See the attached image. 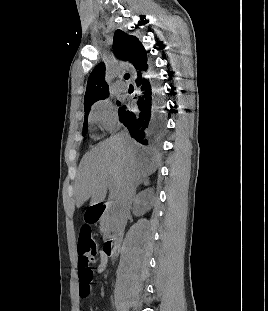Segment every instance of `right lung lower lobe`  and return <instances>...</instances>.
Segmentation results:
<instances>
[{
	"instance_id": "obj_1",
	"label": "right lung lower lobe",
	"mask_w": 268,
	"mask_h": 311,
	"mask_svg": "<svg viewBox=\"0 0 268 311\" xmlns=\"http://www.w3.org/2000/svg\"><path fill=\"white\" fill-rule=\"evenodd\" d=\"M148 65L141 71H147ZM137 74L135 83L139 87L137 109L132 111L125 105L118 109L119 120L127 127L130 135L147 146L156 143L165 131V117L162 113L163 99L156 91V84Z\"/></svg>"
}]
</instances>
